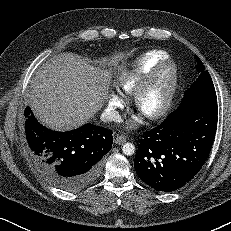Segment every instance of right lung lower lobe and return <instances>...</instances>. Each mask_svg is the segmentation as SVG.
I'll use <instances>...</instances> for the list:
<instances>
[{"label": "right lung lower lobe", "instance_id": "right-lung-lower-lobe-1", "mask_svg": "<svg viewBox=\"0 0 231 231\" xmlns=\"http://www.w3.org/2000/svg\"><path fill=\"white\" fill-rule=\"evenodd\" d=\"M26 139L43 176L68 192L80 190L95 181L102 170L103 156L112 147V131L85 124L68 132L42 126L27 107Z\"/></svg>", "mask_w": 231, "mask_h": 231}]
</instances>
